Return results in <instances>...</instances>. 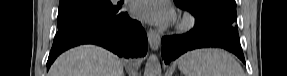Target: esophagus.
<instances>
[{
  "mask_svg": "<svg viewBox=\"0 0 287 76\" xmlns=\"http://www.w3.org/2000/svg\"><path fill=\"white\" fill-rule=\"evenodd\" d=\"M148 41L152 50H158L161 42L159 33L156 30L149 29L147 31Z\"/></svg>",
  "mask_w": 287,
  "mask_h": 76,
  "instance_id": "1",
  "label": "esophagus"
}]
</instances>
